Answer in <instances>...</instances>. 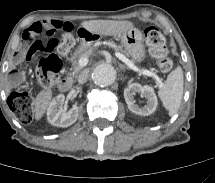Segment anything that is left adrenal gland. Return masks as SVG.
<instances>
[{"instance_id":"obj_1","label":"left adrenal gland","mask_w":215,"mask_h":183,"mask_svg":"<svg viewBox=\"0 0 215 183\" xmlns=\"http://www.w3.org/2000/svg\"><path fill=\"white\" fill-rule=\"evenodd\" d=\"M119 67H120V69H121V70L128 69V67H127V66H125V65H123V64H119Z\"/></svg>"}]
</instances>
